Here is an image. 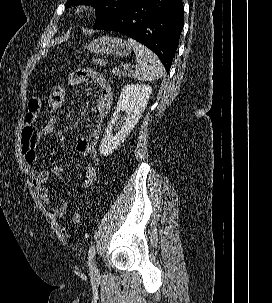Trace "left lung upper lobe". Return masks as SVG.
Segmentation results:
<instances>
[{
    "label": "left lung upper lobe",
    "instance_id": "5c2ea615",
    "mask_svg": "<svg viewBox=\"0 0 272 303\" xmlns=\"http://www.w3.org/2000/svg\"><path fill=\"white\" fill-rule=\"evenodd\" d=\"M138 0H67L65 6L91 4L96 9L97 20L94 29L125 11Z\"/></svg>",
    "mask_w": 272,
    "mask_h": 303
}]
</instances>
